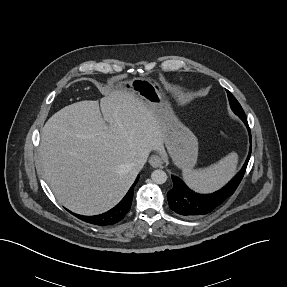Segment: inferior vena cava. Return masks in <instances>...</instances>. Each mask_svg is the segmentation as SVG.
Segmentation results:
<instances>
[{"instance_id": "1", "label": "inferior vena cava", "mask_w": 287, "mask_h": 287, "mask_svg": "<svg viewBox=\"0 0 287 287\" xmlns=\"http://www.w3.org/2000/svg\"><path fill=\"white\" fill-rule=\"evenodd\" d=\"M146 159H147V156H145L143 154L138 155L135 158L134 162L132 163V168L135 169L136 171H140L143 168V166L146 162Z\"/></svg>"}]
</instances>
